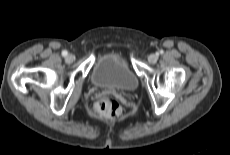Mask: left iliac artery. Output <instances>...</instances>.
<instances>
[{
	"label": "left iliac artery",
	"mask_w": 230,
	"mask_h": 155,
	"mask_svg": "<svg viewBox=\"0 0 230 155\" xmlns=\"http://www.w3.org/2000/svg\"><path fill=\"white\" fill-rule=\"evenodd\" d=\"M160 54H162L163 53V50H160V52H159Z\"/></svg>",
	"instance_id": "obj_1"
}]
</instances>
